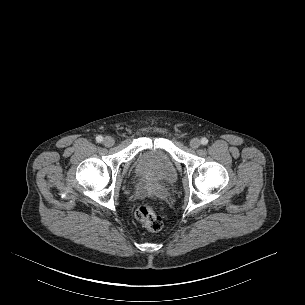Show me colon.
<instances>
[{"label":"colon","mask_w":305,"mask_h":305,"mask_svg":"<svg viewBox=\"0 0 305 305\" xmlns=\"http://www.w3.org/2000/svg\"><path fill=\"white\" fill-rule=\"evenodd\" d=\"M136 219L148 230L159 231L163 226L162 217L155 212L150 204L140 205L135 212Z\"/></svg>","instance_id":"obj_1"}]
</instances>
